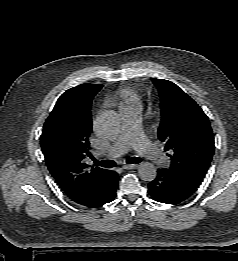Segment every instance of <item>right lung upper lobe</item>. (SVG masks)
Listing matches in <instances>:
<instances>
[{"label":"right lung upper lobe","instance_id":"1","mask_svg":"<svg viewBox=\"0 0 238 261\" xmlns=\"http://www.w3.org/2000/svg\"><path fill=\"white\" fill-rule=\"evenodd\" d=\"M102 86L81 84L63 93L52 110H62L61 118L54 120L51 112L41 135L46 165L74 202L91 192L107 171L99 167L88 169L84 163V158L90 156L91 103Z\"/></svg>","mask_w":238,"mask_h":261}]
</instances>
